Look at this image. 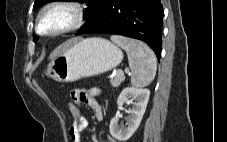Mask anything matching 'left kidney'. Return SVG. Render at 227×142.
I'll list each match as a JSON object with an SVG mask.
<instances>
[{
    "label": "left kidney",
    "mask_w": 227,
    "mask_h": 142,
    "mask_svg": "<svg viewBox=\"0 0 227 142\" xmlns=\"http://www.w3.org/2000/svg\"><path fill=\"white\" fill-rule=\"evenodd\" d=\"M150 96V90L146 88L127 87L120 93L117 104L122 106L125 102L133 104L132 109H129L126 126L119 125L118 118H112L110 122V134L120 142L127 141L134 132L138 129L140 122L145 113L147 103ZM133 100L135 102L133 103Z\"/></svg>",
    "instance_id": "obj_1"
}]
</instances>
